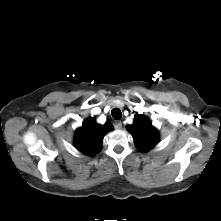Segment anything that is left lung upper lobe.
I'll use <instances>...</instances> for the list:
<instances>
[{
  "mask_svg": "<svg viewBox=\"0 0 221 221\" xmlns=\"http://www.w3.org/2000/svg\"><path fill=\"white\" fill-rule=\"evenodd\" d=\"M127 130L132 134L136 147L141 152L150 150L158 142V131L144 115H135L134 124L128 125Z\"/></svg>",
  "mask_w": 221,
  "mask_h": 221,
  "instance_id": "5c2ea615",
  "label": "left lung upper lobe"
}]
</instances>
